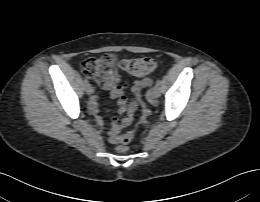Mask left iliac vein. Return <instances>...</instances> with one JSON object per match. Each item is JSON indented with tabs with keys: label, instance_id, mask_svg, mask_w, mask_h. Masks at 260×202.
Masks as SVG:
<instances>
[{
	"label": "left iliac vein",
	"instance_id": "obj_1",
	"mask_svg": "<svg viewBox=\"0 0 260 202\" xmlns=\"http://www.w3.org/2000/svg\"><path fill=\"white\" fill-rule=\"evenodd\" d=\"M150 96L152 98H157L160 96V87L159 86H154L151 90H150Z\"/></svg>",
	"mask_w": 260,
	"mask_h": 202
}]
</instances>
